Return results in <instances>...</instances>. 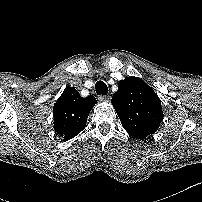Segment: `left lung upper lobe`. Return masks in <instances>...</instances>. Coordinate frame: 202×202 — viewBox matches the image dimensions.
<instances>
[{"label":"left lung upper lobe","mask_w":202,"mask_h":202,"mask_svg":"<svg viewBox=\"0 0 202 202\" xmlns=\"http://www.w3.org/2000/svg\"><path fill=\"white\" fill-rule=\"evenodd\" d=\"M118 88L111 103L123 128L136 139L155 133L164 115L153 89L138 77L121 80Z\"/></svg>","instance_id":"left-lung-upper-lobe-1"}]
</instances>
